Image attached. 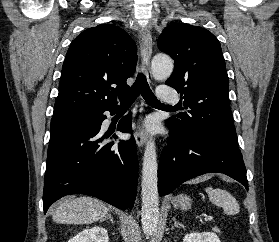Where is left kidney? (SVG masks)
<instances>
[{
    "instance_id": "5707ae66",
    "label": "left kidney",
    "mask_w": 279,
    "mask_h": 242,
    "mask_svg": "<svg viewBox=\"0 0 279 242\" xmlns=\"http://www.w3.org/2000/svg\"><path fill=\"white\" fill-rule=\"evenodd\" d=\"M183 242H221L213 232L189 233L183 238Z\"/></svg>"
}]
</instances>
